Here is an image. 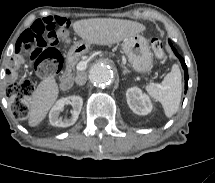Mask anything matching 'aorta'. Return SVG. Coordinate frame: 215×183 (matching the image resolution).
<instances>
[{"instance_id":"aorta-1","label":"aorta","mask_w":215,"mask_h":183,"mask_svg":"<svg viewBox=\"0 0 215 183\" xmlns=\"http://www.w3.org/2000/svg\"><path fill=\"white\" fill-rule=\"evenodd\" d=\"M89 79L97 87H106L114 79L113 68L105 62H98L91 67Z\"/></svg>"}]
</instances>
